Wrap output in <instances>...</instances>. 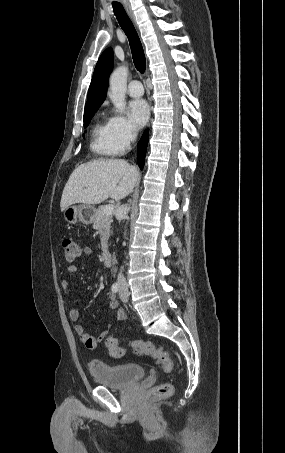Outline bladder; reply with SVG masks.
Listing matches in <instances>:
<instances>
[{
  "instance_id": "31cf9c89",
  "label": "bladder",
  "mask_w": 285,
  "mask_h": 453,
  "mask_svg": "<svg viewBox=\"0 0 285 453\" xmlns=\"http://www.w3.org/2000/svg\"><path fill=\"white\" fill-rule=\"evenodd\" d=\"M89 372L97 383L111 388L129 387L145 374L144 368L137 363L107 365L99 361L89 364Z\"/></svg>"
}]
</instances>
